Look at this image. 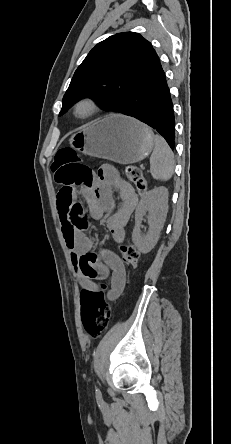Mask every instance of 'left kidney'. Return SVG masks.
<instances>
[{"label":"left kidney","mask_w":231,"mask_h":444,"mask_svg":"<svg viewBox=\"0 0 231 444\" xmlns=\"http://www.w3.org/2000/svg\"><path fill=\"white\" fill-rule=\"evenodd\" d=\"M168 212V189L157 187L146 193L137 205L132 240L139 251L146 254L156 245ZM148 217L149 230L143 235L141 223Z\"/></svg>","instance_id":"1"}]
</instances>
